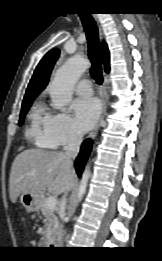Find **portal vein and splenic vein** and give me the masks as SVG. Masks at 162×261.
I'll use <instances>...</instances> for the list:
<instances>
[{"label":"portal vein and splenic vein","instance_id":"obj_1","mask_svg":"<svg viewBox=\"0 0 162 261\" xmlns=\"http://www.w3.org/2000/svg\"><path fill=\"white\" fill-rule=\"evenodd\" d=\"M57 205V198L55 196H49L46 200V206L50 210H55Z\"/></svg>","mask_w":162,"mask_h":261}]
</instances>
